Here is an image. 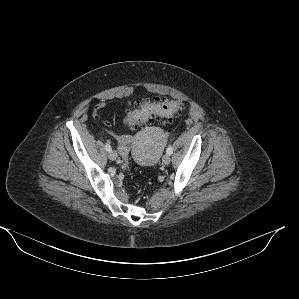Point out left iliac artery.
<instances>
[{"label": "left iliac artery", "instance_id": "obj_1", "mask_svg": "<svg viewBox=\"0 0 299 299\" xmlns=\"http://www.w3.org/2000/svg\"><path fill=\"white\" fill-rule=\"evenodd\" d=\"M166 153H167L168 155H171V154L173 153V148H172V146H169V147L167 148Z\"/></svg>", "mask_w": 299, "mask_h": 299}]
</instances>
